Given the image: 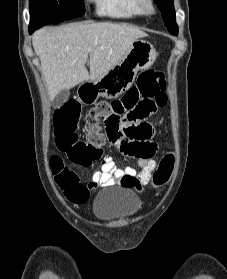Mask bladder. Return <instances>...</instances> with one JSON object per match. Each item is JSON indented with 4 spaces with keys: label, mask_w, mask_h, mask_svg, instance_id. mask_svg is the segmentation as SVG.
I'll return each instance as SVG.
<instances>
[{
    "label": "bladder",
    "mask_w": 227,
    "mask_h": 279,
    "mask_svg": "<svg viewBox=\"0 0 227 279\" xmlns=\"http://www.w3.org/2000/svg\"><path fill=\"white\" fill-rule=\"evenodd\" d=\"M141 207L139 197L125 188L103 190L95 197L93 215L98 220L110 222L131 217Z\"/></svg>",
    "instance_id": "1"
}]
</instances>
